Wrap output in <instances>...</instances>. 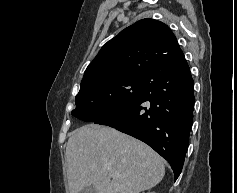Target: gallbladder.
<instances>
[{
  "label": "gallbladder",
  "instance_id": "bac80fb5",
  "mask_svg": "<svg viewBox=\"0 0 237 193\" xmlns=\"http://www.w3.org/2000/svg\"><path fill=\"white\" fill-rule=\"evenodd\" d=\"M78 193H98L94 186H88L83 190L79 191Z\"/></svg>",
  "mask_w": 237,
  "mask_h": 193
}]
</instances>
